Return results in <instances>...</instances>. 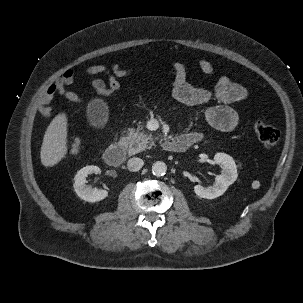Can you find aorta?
<instances>
[{"label":"aorta","mask_w":303,"mask_h":303,"mask_svg":"<svg viewBox=\"0 0 303 303\" xmlns=\"http://www.w3.org/2000/svg\"><path fill=\"white\" fill-rule=\"evenodd\" d=\"M166 171H167V165L162 161H157L152 165V173L155 176L158 177L163 176L166 174Z\"/></svg>","instance_id":"obj_1"}]
</instances>
